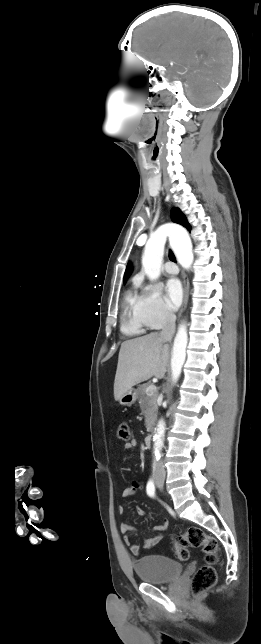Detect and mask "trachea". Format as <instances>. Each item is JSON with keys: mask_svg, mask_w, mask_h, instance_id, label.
<instances>
[{"mask_svg": "<svg viewBox=\"0 0 261 644\" xmlns=\"http://www.w3.org/2000/svg\"><path fill=\"white\" fill-rule=\"evenodd\" d=\"M169 258H170L172 261L176 262L175 256H174V254H173V252H172V251H169Z\"/></svg>", "mask_w": 261, "mask_h": 644, "instance_id": "3493384b", "label": "trachea"}]
</instances>
